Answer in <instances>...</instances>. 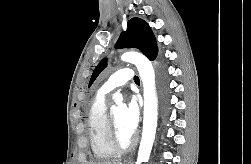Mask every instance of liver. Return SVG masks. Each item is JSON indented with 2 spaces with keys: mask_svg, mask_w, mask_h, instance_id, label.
<instances>
[{
  "mask_svg": "<svg viewBox=\"0 0 251 164\" xmlns=\"http://www.w3.org/2000/svg\"><path fill=\"white\" fill-rule=\"evenodd\" d=\"M91 164H122L120 161H100L97 163H91Z\"/></svg>",
  "mask_w": 251,
  "mask_h": 164,
  "instance_id": "1",
  "label": "liver"
}]
</instances>
